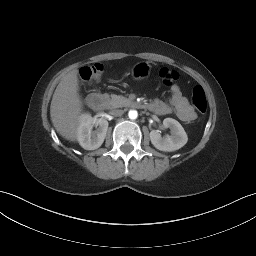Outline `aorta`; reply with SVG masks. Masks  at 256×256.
Instances as JSON below:
<instances>
[{
  "label": "aorta",
  "instance_id": "aorta-1",
  "mask_svg": "<svg viewBox=\"0 0 256 256\" xmlns=\"http://www.w3.org/2000/svg\"><path fill=\"white\" fill-rule=\"evenodd\" d=\"M128 116L131 120H134L138 117V112L136 110H130Z\"/></svg>",
  "mask_w": 256,
  "mask_h": 256
}]
</instances>
